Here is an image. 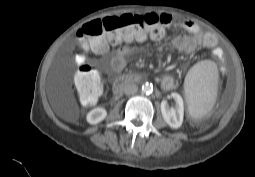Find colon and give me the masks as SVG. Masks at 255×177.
<instances>
[{
    "label": "colon",
    "mask_w": 255,
    "mask_h": 177,
    "mask_svg": "<svg viewBox=\"0 0 255 177\" xmlns=\"http://www.w3.org/2000/svg\"><path fill=\"white\" fill-rule=\"evenodd\" d=\"M167 22L162 14L155 12L127 13L90 21L77 33L78 47L75 59L79 65L74 84L80 101L85 105L95 104L102 91L99 71L85 63L88 46L97 52H104L109 46L123 42L137 41L147 35L158 38Z\"/></svg>",
    "instance_id": "obj_1"
}]
</instances>
